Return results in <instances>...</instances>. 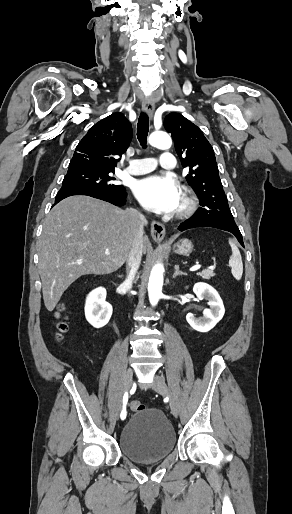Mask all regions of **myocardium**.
I'll list each match as a JSON object with an SVG mask.
<instances>
[{"mask_svg": "<svg viewBox=\"0 0 292 514\" xmlns=\"http://www.w3.org/2000/svg\"><path fill=\"white\" fill-rule=\"evenodd\" d=\"M196 202L188 192H183L181 195L180 204L177 208V214L186 216L192 213L195 209Z\"/></svg>", "mask_w": 292, "mask_h": 514, "instance_id": "myocardium-1", "label": "myocardium"}]
</instances>
